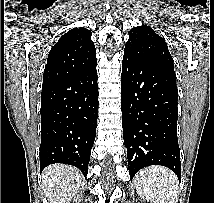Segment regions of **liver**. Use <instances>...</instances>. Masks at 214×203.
Instances as JSON below:
<instances>
[{
    "instance_id": "liver-1",
    "label": "liver",
    "mask_w": 214,
    "mask_h": 203,
    "mask_svg": "<svg viewBox=\"0 0 214 203\" xmlns=\"http://www.w3.org/2000/svg\"><path fill=\"white\" fill-rule=\"evenodd\" d=\"M81 172L72 166L53 164L42 173V188L49 203H69L79 190Z\"/></svg>"
}]
</instances>
